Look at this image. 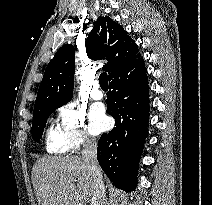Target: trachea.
Returning a JSON list of instances; mask_svg holds the SVG:
<instances>
[{
	"label": "trachea",
	"instance_id": "trachea-1",
	"mask_svg": "<svg viewBox=\"0 0 212 205\" xmlns=\"http://www.w3.org/2000/svg\"><path fill=\"white\" fill-rule=\"evenodd\" d=\"M99 84L101 86L102 89H107L108 88V76L107 73H102L99 76Z\"/></svg>",
	"mask_w": 212,
	"mask_h": 205
}]
</instances>
